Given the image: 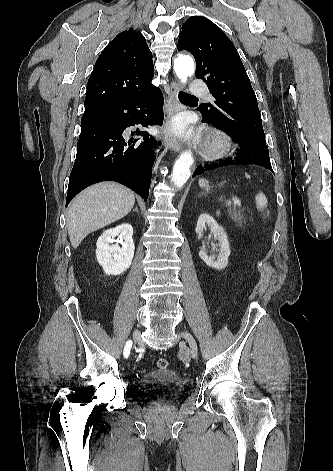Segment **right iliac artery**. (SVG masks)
Wrapping results in <instances>:
<instances>
[{"label": "right iliac artery", "instance_id": "82829eb1", "mask_svg": "<svg viewBox=\"0 0 333 471\" xmlns=\"http://www.w3.org/2000/svg\"><path fill=\"white\" fill-rule=\"evenodd\" d=\"M131 347H132V341L128 340L126 342V345H125V348H124V351H123V355H124L125 358H128V356L130 354Z\"/></svg>", "mask_w": 333, "mask_h": 471}]
</instances>
